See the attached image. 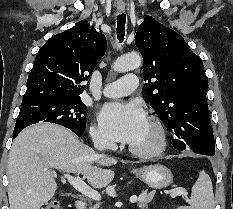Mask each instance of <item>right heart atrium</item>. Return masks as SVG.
<instances>
[{
  "mask_svg": "<svg viewBox=\"0 0 233 209\" xmlns=\"http://www.w3.org/2000/svg\"><path fill=\"white\" fill-rule=\"evenodd\" d=\"M90 133L92 141L96 146L105 148H112L114 146V142L111 140V138L100 128L93 126Z\"/></svg>",
  "mask_w": 233,
  "mask_h": 209,
  "instance_id": "obj_1",
  "label": "right heart atrium"
}]
</instances>
